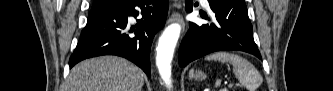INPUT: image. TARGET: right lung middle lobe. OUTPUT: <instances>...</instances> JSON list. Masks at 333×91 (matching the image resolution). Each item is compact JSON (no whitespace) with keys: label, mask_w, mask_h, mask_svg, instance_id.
<instances>
[{"label":"right lung middle lobe","mask_w":333,"mask_h":91,"mask_svg":"<svg viewBox=\"0 0 333 91\" xmlns=\"http://www.w3.org/2000/svg\"><path fill=\"white\" fill-rule=\"evenodd\" d=\"M127 2L128 1H123V0L94 1L93 6H92V10L115 8V7L126 4Z\"/></svg>","instance_id":"1"}]
</instances>
